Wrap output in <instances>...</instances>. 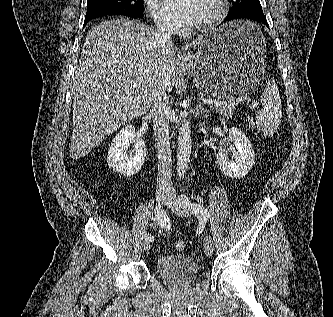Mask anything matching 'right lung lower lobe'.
<instances>
[{
  "instance_id": "obj_1",
  "label": "right lung lower lobe",
  "mask_w": 333,
  "mask_h": 317,
  "mask_svg": "<svg viewBox=\"0 0 333 317\" xmlns=\"http://www.w3.org/2000/svg\"><path fill=\"white\" fill-rule=\"evenodd\" d=\"M96 17H98V16H93V17H85V20H84V25H85L87 22H89L91 19H93V18H96ZM132 18H137V17H132Z\"/></svg>"
}]
</instances>
